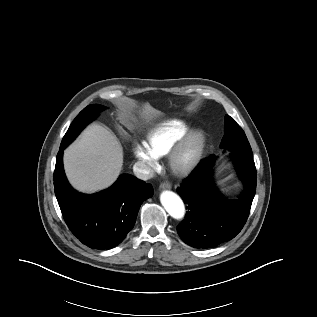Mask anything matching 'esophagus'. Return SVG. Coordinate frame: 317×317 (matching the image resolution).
I'll return each instance as SVG.
<instances>
[{
    "label": "esophagus",
    "instance_id": "obj_1",
    "mask_svg": "<svg viewBox=\"0 0 317 317\" xmlns=\"http://www.w3.org/2000/svg\"><path fill=\"white\" fill-rule=\"evenodd\" d=\"M160 189H171V184L169 182H162L160 184Z\"/></svg>",
    "mask_w": 317,
    "mask_h": 317
}]
</instances>
